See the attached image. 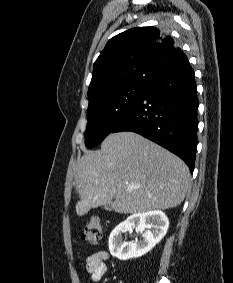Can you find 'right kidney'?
I'll return each instance as SVG.
<instances>
[{
    "label": "right kidney",
    "mask_w": 233,
    "mask_h": 283,
    "mask_svg": "<svg viewBox=\"0 0 233 283\" xmlns=\"http://www.w3.org/2000/svg\"><path fill=\"white\" fill-rule=\"evenodd\" d=\"M169 227L167 216L159 210L135 213L117 225L109 237V250L120 260L138 258L148 253L166 235ZM136 228L142 233V240L128 242L123 234Z\"/></svg>",
    "instance_id": "1"
}]
</instances>
